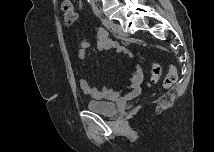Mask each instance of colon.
Here are the masks:
<instances>
[{
    "label": "colon",
    "mask_w": 215,
    "mask_h": 152,
    "mask_svg": "<svg viewBox=\"0 0 215 152\" xmlns=\"http://www.w3.org/2000/svg\"><path fill=\"white\" fill-rule=\"evenodd\" d=\"M62 13L64 21L67 25H72L77 20V10L71 2H64L62 5ZM161 77V67L159 64H153L150 73V82L155 83ZM177 80V70L171 66L167 75L163 80V87L168 89L172 87Z\"/></svg>",
    "instance_id": "colon-1"
}]
</instances>
